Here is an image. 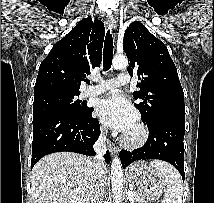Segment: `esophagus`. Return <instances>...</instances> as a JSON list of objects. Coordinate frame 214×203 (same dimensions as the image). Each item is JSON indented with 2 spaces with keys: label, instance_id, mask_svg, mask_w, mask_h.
<instances>
[{
  "label": "esophagus",
  "instance_id": "obj_1",
  "mask_svg": "<svg viewBox=\"0 0 214 203\" xmlns=\"http://www.w3.org/2000/svg\"><path fill=\"white\" fill-rule=\"evenodd\" d=\"M107 24L114 33L117 27V21L113 15L107 17ZM109 151L112 155L116 156L119 153V148L112 142H109Z\"/></svg>",
  "mask_w": 214,
  "mask_h": 203
}]
</instances>
